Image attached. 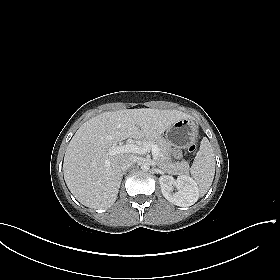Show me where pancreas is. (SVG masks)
Returning <instances> with one entry per match:
<instances>
[{"label":"pancreas","mask_w":280,"mask_h":280,"mask_svg":"<svg viewBox=\"0 0 280 280\" xmlns=\"http://www.w3.org/2000/svg\"><path fill=\"white\" fill-rule=\"evenodd\" d=\"M150 142L156 144L160 153L156 159V163L159 168L164 170L169 174H187L189 172V164L186 161L181 162H171L169 157L170 144L162 137L156 138H144L143 144Z\"/></svg>","instance_id":"cf45deb5"}]
</instances>
